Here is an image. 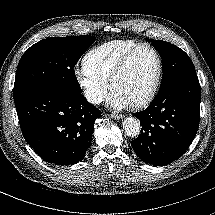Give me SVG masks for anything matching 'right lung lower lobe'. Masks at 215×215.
Segmentation results:
<instances>
[{"label": "right lung lower lobe", "instance_id": "98d812e1", "mask_svg": "<svg viewBox=\"0 0 215 215\" xmlns=\"http://www.w3.org/2000/svg\"><path fill=\"white\" fill-rule=\"evenodd\" d=\"M14 102L26 142L43 160L71 165L84 158L101 111L81 93L47 88Z\"/></svg>", "mask_w": 215, "mask_h": 215}]
</instances>
